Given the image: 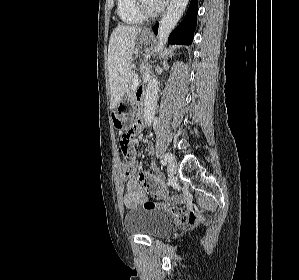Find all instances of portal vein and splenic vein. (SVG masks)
<instances>
[{
  "label": "portal vein and splenic vein",
  "instance_id": "18ae733b",
  "mask_svg": "<svg viewBox=\"0 0 299 280\" xmlns=\"http://www.w3.org/2000/svg\"><path fill=\"white\" fill-rule=\"evenodd\" d=\"M139 84V78H138V74L134 75V79H133V83H132V88L135 89Z\"/></svg>",
  "mask_w": 299,
  "mask_h": 280
}]
</instances>
